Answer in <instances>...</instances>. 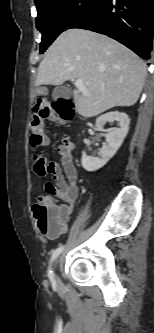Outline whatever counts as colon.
<instances>
[{"mask_svg": "<svg viewBox=\"0 0 154 333\" xmlns=\"http://www.w3.org/2000/svg\"><path fill=\"white\" fill-rule=\"evenodd\" d=\"M33 120L31 128L32 145L38 147L45 143L43 135V119L49 115L47 107L41 100L36 101L33 107ZM31 166L34 173L44 176L48 173V161L39 154H34L31 158ZM33 214L37 225L42 234L46 236H55L65 227L67 211L62 205H58L48 196H41L33 205Z\"/></svg>", "mask_w": 154, "mask_h": 333, "instance_id": "5ec220e1", "label": "colon"}]
</instances>
